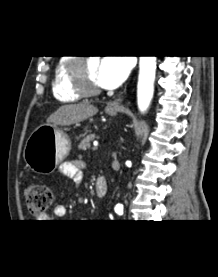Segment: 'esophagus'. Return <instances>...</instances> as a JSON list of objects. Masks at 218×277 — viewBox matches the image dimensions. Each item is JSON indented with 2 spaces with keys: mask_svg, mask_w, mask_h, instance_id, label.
<instances>
[{
  "mask_svg": "<svg viewBox=\"0 0 218 277\" xmlns=\"http://www.w3.org/2000/svg\"><path fill=\"white\" fill-rule=\"evenodd\" d=\"M123 101V97L119 96L118 98L114 99L113 101L108 103V108L113 109V110H117L120 108V105Z\"/></svg>",
  "mask_w": 218,
  "mask_h": 277,
  "instance_id": "1",
  "label": "esophagus"
}]
</instances>
